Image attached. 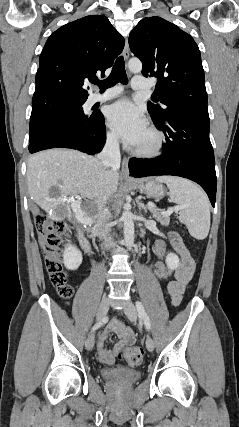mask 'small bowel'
Instances as JSON below:
<instances>
[{
	"label": "small bowel",
	"mask_w": 239,
	"mask_h": 427,
	"mask_svg": "<svg viewBox=\"0 0 239 427\" xmlns=\"http://www.w3.org/2000/svg\"><path fill=\"white\" fill-rule=\"evenodd\" d=\"M170 243L172 250L179 256L180 261L178 267L173 273V279L168 281L165 291L171 297L172 305L177 306L182 300L187 284L193 277L196 263L177 233L173 232L170 234ZM171 274L172 272L170 271L167 279ZM111 334H116L119 341L112 349L109 350L106 348L105 342ZM134 341V332L129 327L125 326L120 320L113 319L98 340L97 353L99 360L106 365H113L116 355L124 347L132 345Z\"/></svg>",
	"instance_id": "1"
}]
</instances>
